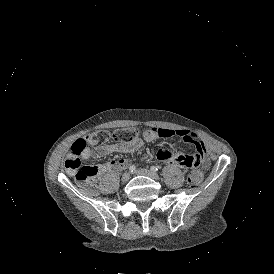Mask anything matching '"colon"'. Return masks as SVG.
I'll return each instance as SVG.
<instances>
[{"mask_svg": "<svg viewBox=\"0 0 274 274\" xmlns=\"http://www.w3.org/2000/svg\"><path fill=\"white\" fill-rule=\"evenodd\" d=\"M139 132L134 128L119 129L115 132V138L119 142L129 143L134 141ZM97 142L102 143L107 139L105 131L92 136ZM79 146H71L70 154L64 160V168L71 173L77 181L83 182L97 176L101 171L100 165H85L81 162L80 155L84 150L85 140H78ZM206 172L203 169L190 170L188 183L190 187H198L205 179Z\"/></svg>", "mask_w": 274, "mask_h": 274, "instance_id": "5ec220e1", "label": "colon"}]
</instances>
